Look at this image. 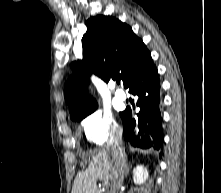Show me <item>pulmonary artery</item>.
<instances>
[{
  "label": "pulmonary artery",
  "mask_w": 221,
  "mask_h": 193,
  "mask_svg": "<svg viewBox=\"0 0 221 193\" xmlns=\"http://www.w3.org/2000/svg\"><path fill=\"white\" fill-rule=\"evenodd\" d=\"M114 87V85H113ZM115 96L119 100H125L127 98V94L122 89H116Z\"/></svg>",
  "instance_id": "e3ab8cb5"
}]
</instances>
